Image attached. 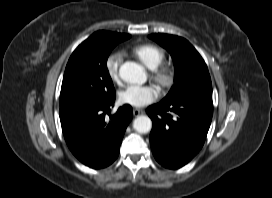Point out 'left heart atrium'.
I'll return each instance as SVG.
<instances>
[{"label":"left heart atrium","mask_w":272,"mask_h":198,"mask_svg":"<svg viewBox=\"0 0 272 198\" xmlns=\"http://www.w3.org/2000/svg\"><path fill=\"white\" fill-rule=\"evenodd\" d=\"M157 98V91L152 86L130 85L119 92L122 104L140 108L151 104Z\"/></svg>","instance_id":"39dd6f15"}]
</instances>
